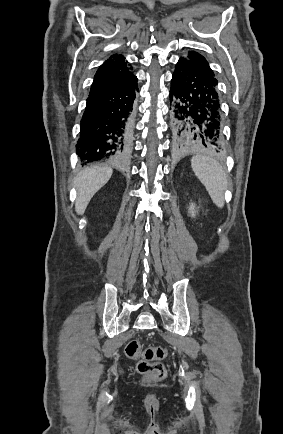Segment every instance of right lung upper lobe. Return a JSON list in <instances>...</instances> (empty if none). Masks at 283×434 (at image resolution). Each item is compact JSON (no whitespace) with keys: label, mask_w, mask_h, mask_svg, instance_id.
Listing matches in <instances>:
<instances>
[{"label":"right lung upper lobe","mask_w":283,"mask_h":434,"mask_svg":"<svg viewBox=\"0 0 283 434\" xmlns=\"http://www.w3.org/2000/svg\"><path fill=\"white\" fill-rule=\"evenodd\" d=\"M133 77L129 71L125 58L113 54L97 70L90 88V94L116 88Z\"/></svg>","instance_id":"obj_1"}]
</instances>
